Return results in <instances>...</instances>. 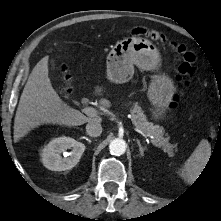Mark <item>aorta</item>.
<instances>
[{
    "label": "aorta",
    "mask_w": 221,
    "mask_h": 221,
    "mask_svg": "<svg viewBox=\"0 0 221 221\" xmlns=\"http://www.w3.org/2000/svg\"><path fill=\"white\" fill-rule=\"evenodd\" d=\"M111 154L120 156L126 151V143L123 139L116 138L109 144Z\"/></svg>",
    "instance_id": "1"
}]
</instances>
